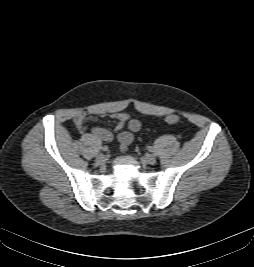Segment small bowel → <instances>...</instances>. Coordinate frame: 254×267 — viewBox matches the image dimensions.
<instances>
[{
    "mask_svg": "<svg viewBox=\"0 0 254 267\" xmlns=\"http://www.w3.org/2000/svg\"><path fill=\"white\" fill-rule=\"evenodd\" d=\"M99 116L86 111L78 113L74 118V123L76 128L80 132L86 130L85 124L88 121H97ZM110 119L114 124L116 131H121L126 125L128 131H122L118 134V142L120 150L125 152L129 145L134 140V134L141 129V122L136 118H131L128 114L124 112H117L110 115ZM92 134L104 142H110L113 139V134L110 130L102 127H95L92 129Z\"/></svg>",
    "mask_w": 254,
    "mask_h": 267,
    "instance_id": "small-bowel-1",
    "label": "small bowel"
}]
</instances>
